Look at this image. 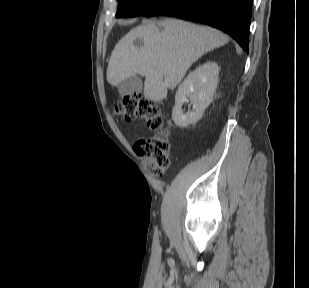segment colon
<instances>
[{"label": "colon", "instance_id": "obj_1", "mask_svg": "<svg viewBox=\"0 0 309 288\" xmlns=\"http://www.w3.org/2000/svg\"><path fill=\"white\" fill-rule=\"evenodd\" d=\"M115 113L125 120L141 119L157 131L153 136L138 140L135 150L146 160L152 174L164 173L170 166L171 143L163 130L164 113L157 102L137 93L128 94L115 106Z\"/></svg>", "mask_w": 309, "mask_h": 288}]
</instances>
